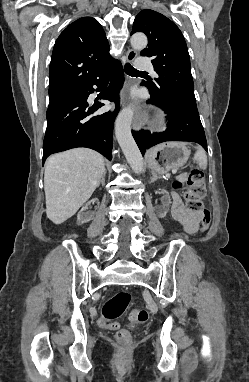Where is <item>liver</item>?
I'll return each mask as SVG.
<instances>
[{"label": "liver", "instance_id": "1", "mask_svg": "<svg viewBox=\"0 0 249 382\" xmlns=\"http://www.w3.org/2000/svg\"><path fill=\"white\" fill-rule=\"evenodd\" d=\"M104 172L102 155L91 149L50 156L44 174L47 217L57 225L72 217L91 197Z\"/></svg>", "mask_w": 249, "mask_h": 382}]
</instances>
